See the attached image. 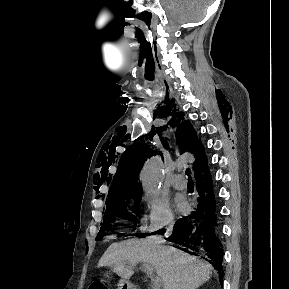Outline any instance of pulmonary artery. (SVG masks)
Listing matches in <instances>:
<instances>
[{
  "label": "pulmonary artery",
  "instance_id": "e3ab8cb5",
  "mask_svg": "<svg viewBox=\"0 0 289 289\" xmlns=\"http://www.w3.org/2000/svg\"><path fill=\"white\" fill-rule=\"evenodd\" d=\"M171 184L174 188L182 190L187 187V182L184 179L183 175L180 173H176L171 178Z\"/></svg>",
  "mask_w": 289,
  "mask_h": 289
}]
</instances>
